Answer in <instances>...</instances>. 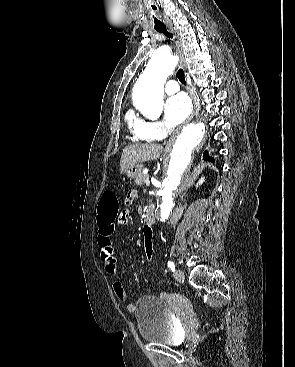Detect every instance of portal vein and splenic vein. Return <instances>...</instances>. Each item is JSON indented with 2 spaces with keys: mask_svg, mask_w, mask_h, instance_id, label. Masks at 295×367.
I'll return each mask as SVG.
<instances>
[{
  "mask_svg": "<svg viewBox=\"0 0 295 367\" xmlns=\"http://www.w3.org/2000/svg\"><path fill=\"white\" fill-rule=\"evenodd\" d=\"M145 184H146V186H149V185H150V180H149V178L145 181Z\"/></svg>",
  "mask_w": 295,
  "mask_h": 367,
  "instance_id": "1",
  "label": "portal vein and splenic vein"
}]
</instances>
